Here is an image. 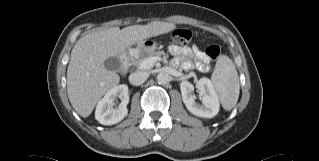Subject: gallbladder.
I'll list each match as a JSON object with an SVG mask.
<instances>
[{
    "instance_id": "1",
    "label": "gallbladder",
    "mask_w": 319,
    "mask_h": 161,
    "mask_svg": "<svg viewBox=\"0 0 319 161\" xmlns=\"http://www.w3.org/2000/svg\"><path fill=\"white\" fill-rule=\"evenodd\" d=\"M104 67L110 71H119L121 63L117 57H110L104 62Z\"/></svg>"
}]
</instances>
